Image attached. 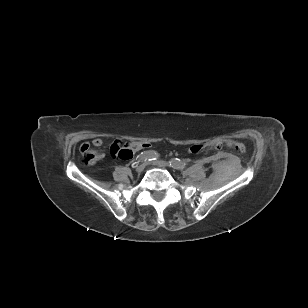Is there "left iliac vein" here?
I'll return each instance as SVG.
<instances>
[{
  "instance_id": "left-iliac-vein-1",
  "label": "left iliac vein",
  "mask_w": 308,
  "mask_h": 308,
  "mask_svg": "<svg viewBox=\"0 0 308 308\" xmlns=\"http://www.w3.org/2000/svg\"><path fill=\"white\" fill-rule=\"evenodd\" d=\"M154 165H156L157 167H160V168H166V167L170 166L168 162L163 161V160H159V161L154 162Z\"/></svg>"
}]
</instances>
